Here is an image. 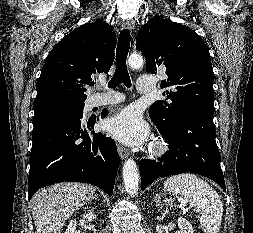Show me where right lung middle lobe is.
<instances>
[{
  "label": "right lung middle lobe",
  "instance_id": "1",
  "mask_svg": "<svg viewBox=\"0 0 253 233\" xmlns=\"http://www.w3.org/2000/svg\"><path fill=\"white\" fill-rule=\"evenodd\" d=\"M85 100H73L65 98H52L39 103L34 104L35 115L46 112L49 110H66L70 111L78 116L83 115Z\"/></svg>",
  "mask_w": 253,
  "mask_h": 233
}]
</instances>
